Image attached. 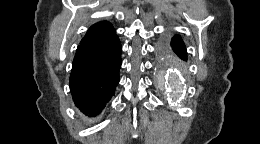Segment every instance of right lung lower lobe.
I'll return each mask as SVG.
<instances>
[{
  "mask_svg": "<svg viewBox=\"0 0 260 144\" xmlns=\"http://www.w3.org/2000/svg\"><path fill=\"white\" fill-rule=\"evenodd\" d=\"M121 43L116 34L81 43L70 75L75 105L89 116L98 115L114 95L119 83Z\"/></svg>",
  "mask_w": 260,
  "mask_h": 144,
  "instance_id": "obj_1",
  "label": "right lung lower lobe"
}]
</instances>
